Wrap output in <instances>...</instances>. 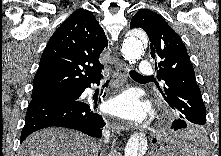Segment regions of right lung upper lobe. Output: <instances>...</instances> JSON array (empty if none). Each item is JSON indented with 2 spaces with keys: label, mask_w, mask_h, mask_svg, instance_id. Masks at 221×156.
Wrapping results in <instances>:
<instances>
[{
  "label": "right lung upper lobe",
  "mask_w": 221,
  "mask_h": 156,
  "mask_svg": "<svg viewBox=\"0 0 221 156\" xmlns=\"http://www.w3.org/2000/svg\"><path fill=\"white\" fill-rule=\"evenodd\" d=\"M108 45L94 15L73 12L54 32L40 59L34 77L32 100L77 92L101 76L99 56Z\"/></svg>",
  "instance_id": "1"
}]
</instances>
